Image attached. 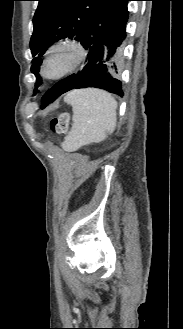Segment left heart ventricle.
Listing matches in <instances>:
<instances>
[{
    "label": "left heart ventricle",
    "instance_id": "left-heart-ventricle-1",
    "mask_svg": "<svg viewBox=\"0 0 183 329\" xmlns=\"http://www.w3.org/2000/svg\"><path fill=\"white\" fill-rule=\"evenodd\" d=\"M76 59V52L69 47H62L55 51L49 58L45 72L48 75L58 74L69 68Z\"/></svg>",
    "mask_w": 183,
    "mask_h": 329
}]
</instances>
